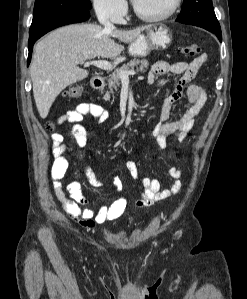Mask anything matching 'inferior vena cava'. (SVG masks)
I'll return each instance as SVG.
<instances>
[{
    "label": "inferior vena cava",
    "mask_w": 247,
    "mask_h": 299,
    "mask_svg": "<svg viewBox=\"0 0 247 299\" xmlns=\"http://www.w3.org/2000/svg\"><path fill=\"white\" fill-rule=\"evenodd\" d=\"M98 20L104 26L105 30L114 29V25L108 20V17L105 14V12H100L98 14Z\"/></svg>",
    "instance_id": "inferior-vena-cava-1"
}]
</instances>
